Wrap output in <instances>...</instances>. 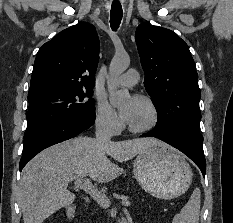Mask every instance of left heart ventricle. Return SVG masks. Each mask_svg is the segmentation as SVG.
I'll list each match as a JSON object with an SVG mask.
<instances>
[{
	"label": "left heart ventricle",
	"mask_w": 233,
	"mask_h": 223,
	"mask_svg": "<svg viewBox=\"0 0 233 223\" xmlns=\"http://www.w3.org/2000/svg\"><path fill=\"white\" fill-rule=\"evenodd\" d=\"M153 122V115L148 105L137 98V110L133 121L130 123L135 128H146Z\"/></svg>",
	"instance_id": "b2bd125f"
}]
</instances>
